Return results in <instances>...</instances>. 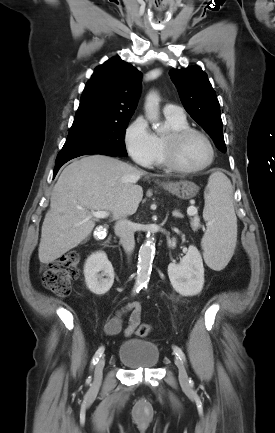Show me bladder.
Instances as JSON below:
<instances>
[{
  "instance_id": "obj_1",
  "label": "bladder",
  "mask_w": 275,
  "mask_h": 433,
  "mask_svg": "<svg viewBox=\"0 0 275 433\" xmlns=\"http://www.w3.org/2000/svg\"><path fill=\"white\" fill-rule=\"evenodd\" d=\"M159 348L156 344L141 339L129 338L118 349V360L130 367L150 369L158 364Z\"/></svg>"
}]
</instances>
